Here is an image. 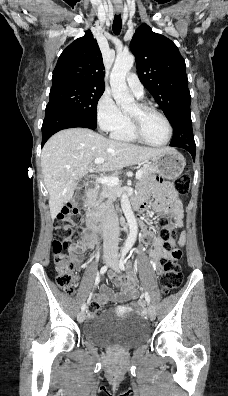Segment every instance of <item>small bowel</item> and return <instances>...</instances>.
Returning a JSON list of instances; mask_svg holds the SVG:
<instances>
[{
    "label": "small bowel",
    "mask_w": 228,
    "mask_h": 396,
    "mask_svg": "<svg viewBox=\"0 0 228 396\" xmlns=\"http://www.w3.org/2000/svg\"><path fill=\"white\" fill-rule=\"evenodd\" d=\"M144 189L154 195L159 209L171 208L174 217L172 228H181L183 225L182 204L178 193L172 188V186L168 183H163L160 179H155L150 187H144ZM134 203L138 204L142 211L146 207V200L144 198H136L134 199ZM143 236L146 242L151 240L153 241V249L150 251L149 255L153 266L160 271L159 261L165 254L163 248L164 242L161 238L155 237L150 230H145ZM97 239V234L91 229H87L84 231L81 240L70 246L69 252L75 265H79L82 262V253L89 249H93L96 246ZM184 242V234H181L177 244L182 246ZM109 278L116 287L120 288V292L114 293L107 286L101 285L99 294L95 296L100 304H107L111 301L126 302L137 299L138 291L135 288L136 280L133 276L129 275L122 278L110 273ZM135 307L143 309L144 302L140 300L138 305H135Z\"/></svg>",
    "instance_id": "1"
}]
</instances>
